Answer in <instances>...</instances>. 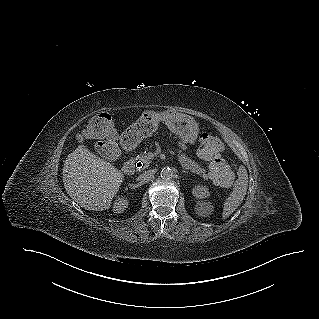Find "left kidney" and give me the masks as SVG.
<instances>
[{
  "mask_svg": "<svg viewBox=\"0 0 319 319\" xmlns=\"http://www.w3.org/2000/svg\"><path fill=\"white\" fill-rule=\"evenodd\" d=\"M192 193L199 199H203L209 196V191L206 186H195ZM196 211L198 214L205 216L211 214V212L213 211V206H211L209 203H198L196 205Z\"/></svg>",
  "mask_w": 319,
  "mask_h": 319,
  "instance_id": "5707ae66",
  "label": "left kidney"
}]
</instances>
